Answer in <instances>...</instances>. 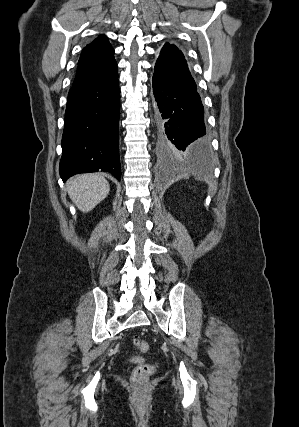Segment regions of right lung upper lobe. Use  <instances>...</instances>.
Wrapping results in <instances>:
<instances>
[{
	"label": "right lung upper lobe",
	"instance_id": "cb5924a9",
	"mask_svg": "<svg viewBox=\"0 0 299 427\" xmlns=\"http://www.w3.org/2000/svg\"><path fill=\"white\" fill-rule=\"evenodd\" d=\"M115 70L114 49L107 37L100 35L82 50L73 85L101 80Z\"/></svg>",
	"mask_w": 299,
	"mask_h": 427
}]
</instances>
